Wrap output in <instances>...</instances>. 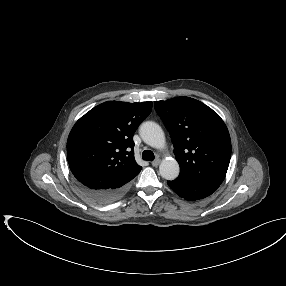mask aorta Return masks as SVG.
I'll list each match as a JSON object with an SVG mask.
<instances>
[{
  "mask_svg": "<svg viewBox=\"0 0 286 286\" xmlns=\"http://www.w3.org/2000/svg\"><path fill=\"white\" fill-rule=\"evenodd\" d=\"M139 133L142 140L149 146L156 149H163L165 147V135L157 123L152 121L142 123ZM159 172L162 178L174 180L180 172L179 164L173 158H164L160 163Z\"/></svg>",
  "mask_w": 286,
  "mask_h": 286,
  "instance_id": "762f6f07",
  "label": "aorta"
}]
</instances>
